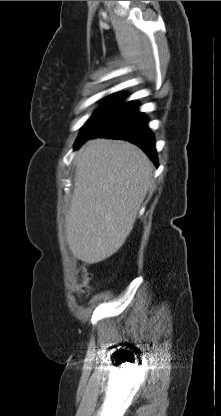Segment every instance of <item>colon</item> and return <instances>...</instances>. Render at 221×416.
Segmentation results:
<instances>
[{
	"label": "colon",
	"instance_id": "1",
	"mask_svg": "<svg viewBox=\"0 0 221 416\" xmlns=\"http://www.w3.org/2000/svg\"><path fill=\"white\" fill-rule=\"evenodd\" d=\"M88 281H89V274L86 271H84L83 272V280H82V283L80 285V291L82 293H85L88 290Z\"/></svg>",
	"mask_w": 221,
	"mask_h": 416
}]
</instances>
